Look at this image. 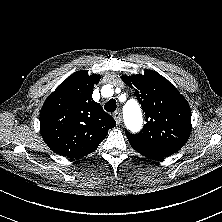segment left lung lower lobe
Instances as JSON below:
<instances>
[{"instance_id":"1","label":"left lung lower lobe","mask_w":222,"mask_h":222,"mask_svg":"<svg viewBox=\"0 0 222 222\" xmlns=\"http://www.w3.org/2000/svg\"><path fill=\"white\" fill-rule=\"evenodd\" d=\"M131 146L140 154L145 157L153 159H162L166 156H170L177 152L180 147L176 146H151L145 145L138 142L129 141Z\"/></svg>"}]
</instances>
